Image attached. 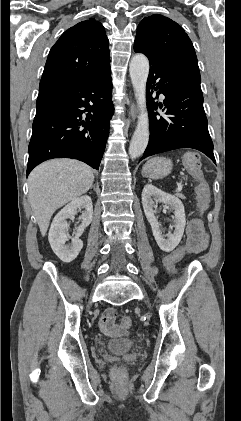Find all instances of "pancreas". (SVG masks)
Wrapping results in <instances>:
<instances>
[{
	"instance_id": "cf45deb5",
	"label": "pancreas",
	"mask_w": 241,
	"mask_h": 421,
	"mask_svg": "<svg viewBox=\"0 0 241 421\" xmlns=\"http://www.w3.org/2000/svg\"><path fill=\"white\" fill-rule=\"evenodd\" d=\"M179 198H181V199H185V196L183 195V194H181V193H177L176 194Z\"/></svg>"
}]
</instances>
